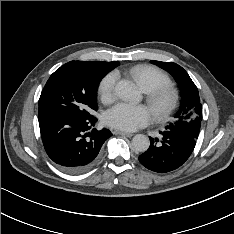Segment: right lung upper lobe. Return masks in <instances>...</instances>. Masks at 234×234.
Returning <instances> with one entry per match:
<instances>
[{"mask_svg":"<svg viewBox=\"0 0 234 234\" xmlns=\"http://www.w3.org/2000/svg\"><path fill=\"white\" fill-rule=\"evenodd\" d=\"M69 63L78 64L89 69L104 72L106 74L118 66V62L104 61H71Z\"/></svg>","mask_w":234,"mask_h":234,"instance_id":"1","label":"right lung upper lobe"}]
</instances>
